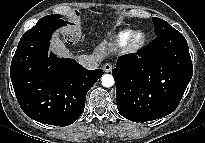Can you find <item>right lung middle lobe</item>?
Segmentation results:
<instances>
[{
    "mask_svg": "<svg viewBox=\"0 0 205 143\" xmlns=\"http://www.w3.org/2000/svg\"><path fill=\"white\" fill-rule=\"evenodd\" d=\"M43 19L56 20V21L60 22L62 25H64L66 23V22H64V20L61 19V16L58 14L48 15V16L43 17Z\"/></svg>",
    "mask_w": 205,
    "mask_h": 143,
    "instance_id": "1",
    "label": "right lung middle lobe"
}]
</instances>
